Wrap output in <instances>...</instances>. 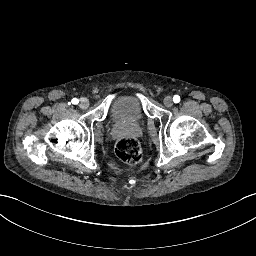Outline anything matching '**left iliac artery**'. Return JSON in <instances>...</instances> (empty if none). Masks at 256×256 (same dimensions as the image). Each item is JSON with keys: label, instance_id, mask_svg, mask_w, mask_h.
Wrapping results in <instances>:
<instances>
[{"label": "left iliac artery", "instance_id": "44dca946", "mask_svg": "<svg viewBox=\"0 0 256 256\" xmlns=\"http://www.w3.org/2000/svg\"><path fill=\"white\" fill-rule=\"evenodd\" d=\"M173 101H174V103L180 102V96H179V95H175V96L173 97Z\"/></svg>", "mask_w": 256, "mask_h": 256}]
</instances>
